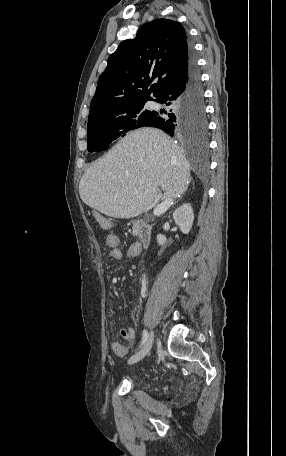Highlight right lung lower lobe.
<instances>
[{
    "mask_svg": "<svg viewBox=\"0 0 286 456\" xmlns=\"http://www.w3.org/2000/svg\"><path fill=\"white\" fill-rule=\"evenodd\" d=\"M154 101L166 104L169 110L155 112L146 126L160 128L171 136L177 133L205 134L207 123L203 88L193 52L186 76L165 89ZM193 125L204 126L205 132L192 131Z\"/></svg>",
    "mask_w": 286,
    "mask_h": 456,
    "instance_id": "right-lung-lower-lobe-1",
    "label": "right lung lower lobe"
}]
</instances>
